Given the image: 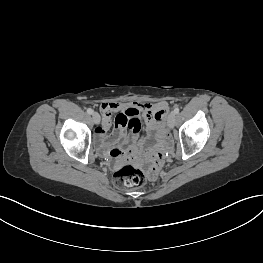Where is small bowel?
Masks as SVG:
<instances>
[{"label": "small bowel", "instance_id": "small-bowel-1", "mask_svg": "<svg viewBox=\"0 0 263 263\" xmlns=\"http://www.w3.org/2000/svg\"><path fill=\"white\" fill-rule=\"evenodd\" d=\"M100 111L102 124L97 129L96 143L101 152L115 161H136L139 151L145 149L148 156L141 159V166L147 169L150 177L157 178L164 158V147L157 143L163 138L166 121L174 112V107L165 101L109 102L102 103ZM148 142L152 144L149 150L146 148Z\"/></svg>", "mask_w": 263, "mask_h": 263}]
</instances>
